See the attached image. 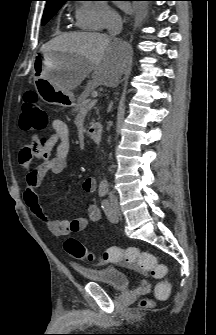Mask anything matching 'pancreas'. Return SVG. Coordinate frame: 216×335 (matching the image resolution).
<instances>
[{"label":"pancreas","mask_w":216,"mask_h":335,"mask_svg":"<svg viewBox=\"0 0 216 335\" xmlns=\"http://www.w3.org/2000/svg\"><path fill=\"white\" fill-rule=\"evenodd\" d=\"M89 88H90V86H88V89ZM90 92H91V90H86L79 96V98L77 100V104L74 108L75 112H78V111L83 110V109H85V110L90 109L89 106H88L89 102H90V100L88 99V96H89Z\"/></svg>","instance_id":"pancreas-1"}]
</instances>
